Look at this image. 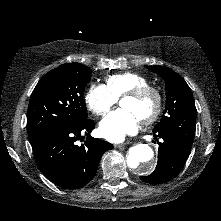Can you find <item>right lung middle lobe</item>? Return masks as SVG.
Masks as SVG:
<instances>
[{"mask_svg": "<svg viewBox=\"0 0 221 221\" xmlns=\"http://www.w3.org/2000/svg\"><path fill=\"white\" fill-rule=\"evenodd\" d=\"M91 69L67 63L45 74L30 97L27 132L33 139L45 132L68 129L88 118L83 99Z\"/></svg>", "mask_w": 221, "mask_h": 221, "instance_id": "right-lung-middle-lobe-1", "label": "right lung middle lobe"}]
</instances>
